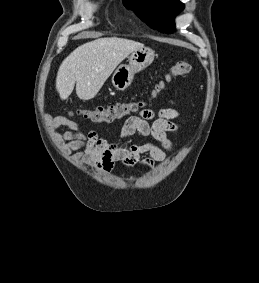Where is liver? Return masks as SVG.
<instances>
[{
	"mask_svg": "<svg viewBox=\"0 0 259 283\" xmlns=\"http://www.w3.org/2000/svg\"><path fill=\"white\" fill-rule=\"evenodd\" d=\"M142 43L118 38H99L76 48L59 67L56 89L62 100L67 99L76 84L81 100L94 98L115 68Z\"/></svg>",
	"mask_w": 259,
	"mask_h": 283,
	"instance_id": "obj_1",
	"label": "liver"
}]
</instances>
